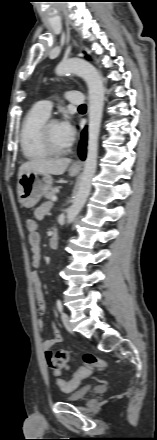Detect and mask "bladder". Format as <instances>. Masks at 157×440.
Wrapping results in <instances>:
<instances>
[{
  "mask_svg": "<svg viewBox=\"0 0 157 440\" xmlns=\"http://www.w3.org/2000/svg\"><path fill=\"white\" fill-rule=\"evenodd\" d=\"M91 392L90 386H85L82 388H79L67 395H65V401L70 403H76L83 401Z\"/></svg>",
  "mask_w": 157,
  "mask_h": 440,
  "instance_id": "1",
  "label": "bladder"
}]
</instances>
